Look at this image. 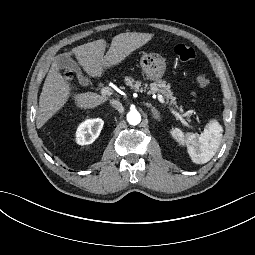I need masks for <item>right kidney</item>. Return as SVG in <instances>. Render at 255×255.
<instances>
[{"label": "right kidney", "instance_id": "right-kidney-1", "mask_svg": "<svg viewBox=\"0 0 255 255\" xmlns=\"http://www.w3.org/2000/svg\"><path fill=\"white\" fill-rule=\"evenodd\" d=\"M103 127L100 119L88 120L82 123L77 131V142L81 145L91 144L99 136Z\"/></svg>", "mask_w": 255, "mask_h": 255}]
</instances>
